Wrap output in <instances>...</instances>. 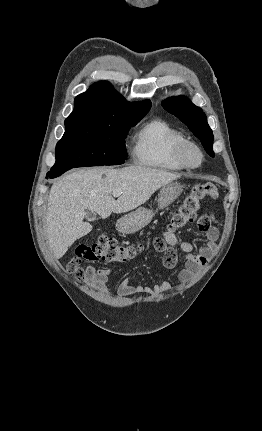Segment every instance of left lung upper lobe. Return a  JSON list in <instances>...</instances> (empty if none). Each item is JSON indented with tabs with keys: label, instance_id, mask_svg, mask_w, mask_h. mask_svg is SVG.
<instances>
[{
	"label": "left lung upper lobe",
	"instance_id": "5c2ea615",
	"mask_svg": "<svg viewBox=\"0 0 262 431\" xmlns=\"http://www.w3.org/2000/svg\"><path fill=\"white\" fill-rule=\"evenodd\" d=\"M162 105L193 131L194 135L201 140L207 153L213 157V134L202 109L184 96L167 98L162 102Z\"/></svg>",
	"mask_w": 262,
	"mask_h": 431
}]
</instances>
